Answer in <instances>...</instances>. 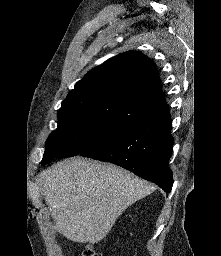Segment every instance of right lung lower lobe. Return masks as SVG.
<instances>
[{"label":"right lung lower lobe","instance_id":"right-lung-lower-lobe-1","mask_svg":"<svg viewBox=\"0 0 221 256\" xmlns=\"http://www.w3.org/2000/svg\"><path fill=\"white\" fill-rule=\"evenodd\" d=\"M170 129L168 111L115 133L80 155L119 165L169 193L173 185L169 160L174 142Z\"/></svg>","mask_w":221,"mask_h":256}]
</instances>
